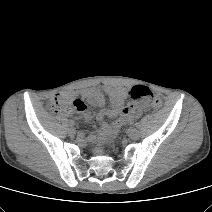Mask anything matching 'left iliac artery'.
I'll return each mask as SVG.
<instances>
[{
	"mask_svg": "<svg viewBox=\"0 0 212 212\" xmlns=\"http://www.w3.org/2000/svg\"><path fill=\"white\" fill-rule=\"evenodd\" d=\"M135 126H136L137 128H140V123H136Z\"/></svg>",
	"mask_w": 212,
	"mask_h": 212,
	"instance_id": "left-iliac-artery-1",
	"label": "left iliac artery"
}]
</instances>
